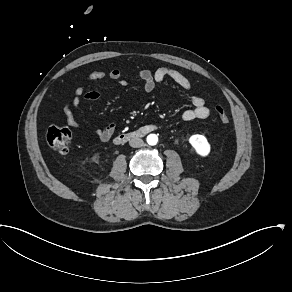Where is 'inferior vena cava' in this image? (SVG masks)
Instances as JSON below:
<instances>
[{
  "label": "inferior vena cava",
  "instance_id": "602c4592",
  "mask_svg": "<svg viewBox=\"0 0 292 292\" xmlns=\"http://www.w3.org/2000/svg\"><path fill=\"white\" fill-rule=\"evenodd\" d=\"M129 145L134 148H139L144 145V141L141 138L135 137L129 141Z\"/></svg>",
  "mask_w": 292,
  "mask_h": 292
}]
</instances>
